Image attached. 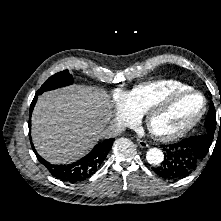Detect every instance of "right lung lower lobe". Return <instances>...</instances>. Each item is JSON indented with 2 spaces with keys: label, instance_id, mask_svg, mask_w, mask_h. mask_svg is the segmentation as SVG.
I'll list each match as a JSON object with an SVG mask.
<instances>
[{
  "label": "right lung lower lobe",
  "instance_id": "1",
  "mask_svg": "<svg viewBox=\"0 0 221 221\" xmlns=\"http://www.w3.org/2000/svg\"><path fill=\"white\" fill-rule=\"evenodd\" d=\"M38 95L36 93L31 106L30 115L33 111L34 105L37 101ZM31 127V120L29 119V129ZM31 139V136H30ZM113 138H110L102 143L97 144L92 151L82 159L68 165H52L45 161L34 149L32 148L38 158V160L49 170V172L57 179L65 182H78L91 177L102 164L107 154L109 153L112 145Z\"/></svg>",
  "mask_w": 221,
  "mask_h": 221
}]
</instances>
